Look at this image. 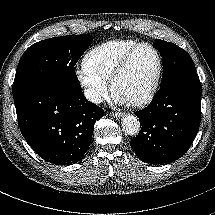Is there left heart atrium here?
<instances>
[{"label":"left heart atrium","mask_w":215,"mask_h":215,"mask_svg":"<svg viewBox=\"0 0 215 215\" xmlns=\"http://www.w3.org/2000/svg\"><path fill=\"white\" fill-rule=\"evenodd\" d=\"M113 100L115 103L120 104V105L125 103L122 99H120L119 97H117L115 95H113Z\"/></svg>","instance_id":"obj_1"}]
</instances>
